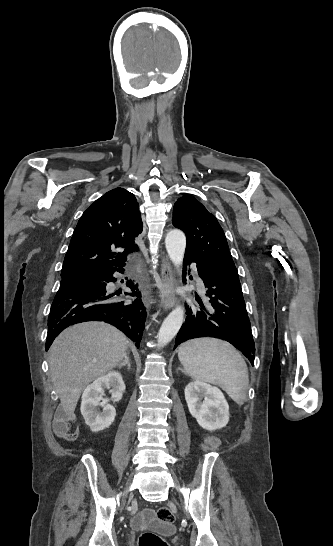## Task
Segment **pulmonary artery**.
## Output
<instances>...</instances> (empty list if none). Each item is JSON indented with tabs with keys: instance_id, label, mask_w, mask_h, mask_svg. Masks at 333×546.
<instances>
[{
	"instance_id": "obj_1",
	"label": "pulmonary artery",
	"mask_w": 333,
	"mask_h": 546,
	"mask_svg": "<svg viewBox=\"0 0 333 546\" xmlns=\"http://www.w3.org/2000/svg\"><path fill=\"white\" fill-rule=\"evenodd\" d=\"M197 282H198V285H199V286H202V285H203V283H202V281H201L200 278H197Z\"/></svg>"
}]
</instances>
